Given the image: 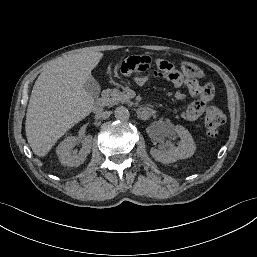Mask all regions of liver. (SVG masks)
I'll use <instances>...</instances> for the list:
<instances>
[{"mask_svg":"<svg viewBox=\"0 0 257 257\" xmlns=\"http://www.w3.org/2000/svg\"><path fill=\"white\" fill-rule=\"evenodd\" d=\"M101 52H83L53 60L36 80L29 100L25 131L39 157L45 156L69 129L87 117L94 98L84 89Z\"/></svg>","mask_w":257,"mask_h":257,"instance_id":"1","label":"liver"}]
</instances>
